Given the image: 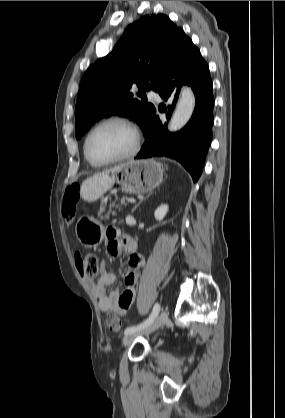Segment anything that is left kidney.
Returning <instances> with one entry per match:
<instances>
[{
    "mask_svg": "<svg viewBox=\"0 0 285 418\" xmlns=\"http://www.w3.org/2000/svg\"><path fill=\"white\" fill-rule=\"evenodd\" d=\"M168 209H169V207H168L167 204L160 205L154 213L155 219L158 220V221L163 220V218L165 217V215L168 212Z\"/></svg>",
    "mask_w": 285,
    "mask_h": 418,
    "instance_id": "obj_1",
    "label": "left kidney"
}]
</instances>
